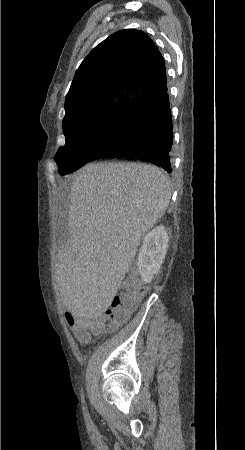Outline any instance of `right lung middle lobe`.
<instances>
[{
  "instance_id": "dd1d6c3e",
  "label": "right lung middle lobe",
  "mask_w": 245,
  "mask_h": 450,
  "mask_svg": "<svg viewBox=\"0 0 245 450\" xmlns=\"http://www.w3.org/2000/svg\"><path fill=\"white\" fill-rule=\"evenodd\" d=\"M136 111L120 104L101 103L64 117L66 144L54 158L59 173H71L97 153L110 149L125 136L129 121Z\"/></svg>"
}]
</instances>
